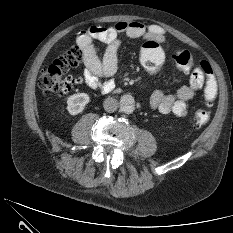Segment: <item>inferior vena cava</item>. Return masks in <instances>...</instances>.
Returning a JSON list of instances; mask_svg holds the SVG:
<instances>
[{"mask_svg":"<svg viewBox=\"0 0 233 233\" xmlns=\"http://www.w3.org/2000/svg\"><path fill=\"white\" fill-rule=\"evenodd\" d=\"M118 106H119L118 101L112 97L106 98L104 103H103V107H104L105 111L108 113L115 112L117 110Z\"/></svg>","mask_w":233,"mask_h":233,"instance_id":"inferior-vena-cava-1","label":"inferior vena cava"}]
</instances>
